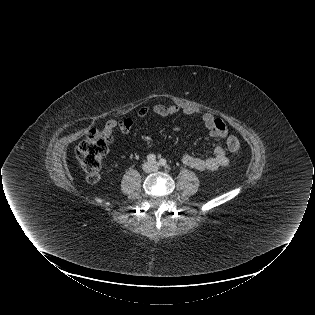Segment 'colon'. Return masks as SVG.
Segmentation results:
<instances>
[{"label": "colon", "instance_id": "5ec220e1", "mask_svg": "<svg viewBox=\"0 0 315 315\" xmlns=\"http://www.w3.org/2000/svg\"><path fill=\"white\" fill-rule=\"evenodd\" d=\"M111 140L112 135L103 129H94L77 147L76 157L89 182H96L99 179L101 162ZM226 144L231 153H238L241 149L240 141L235 136L228 137Z\"/></svg>", "mask_w": 315, "mask_h": 315}]
</instances>
